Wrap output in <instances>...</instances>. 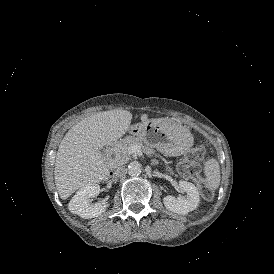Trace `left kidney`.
I'll list each match as a JSON object with an SVG mask.
<instances>
[{"mask_svg": "<svg viewBox=\"0 0 274 274\" xmlns=\"http://www.w3.org/2000/svg\"><path fill=\"white\" fill-rule=\"evenodd\" d=\"M179 189L186 195L177 198L166 196L163 203L166 209L180 215H186L197 208L200 201L199 192L194 184L187 181H179Z\"/></svg>", "mask_w": 274, "mask_h": 274, "instance_id": "1", "label": "left kidney"}]
</instances>
